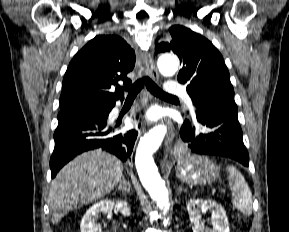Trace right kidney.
<instances>
[{"instance_id":"1","label":"right kidney","mask_w":289,"mask_h":232,"mask_svg":"<svg viewBox=\"0 0 289 232\" xmlns=\"http://www.w3.org/2000/svg\"><path fill=\"white\" fill-rule=\"evenodd\" d=\"M114 208L124 216L130 215V207L126 201L102 200L92 205L84 214L80 223L81 232H98L99 225L96 223L98 216L101 213H111Z\"/></svg>"}]
</instances>
